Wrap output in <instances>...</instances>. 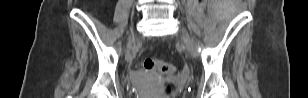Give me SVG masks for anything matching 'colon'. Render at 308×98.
<instances>
[{
  "mask_svg": "<svg viewBox=\"0 0 308 98\" xmlns=\"http://www.w3.org/2000/svg\"><path fill=\"white\" fill-rule=\"evenodd\" d=\"M141 65L147 71L160 72L167 75L175 73L174 65L161 58H147Z\"/></svg>",
  "mask_w": 308,
  "mask_h": 98,
  "instance_id": "5ec220e1",
  "label": "colon"
}]
</instances>
